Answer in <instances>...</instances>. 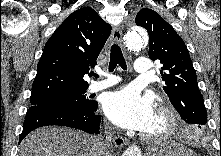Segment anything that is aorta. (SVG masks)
Returning <instances> with one entry per match:
<instances>
[{"instance_id": "obj_1", "label": "aorta", "mask_w": 221, "mask_h": 156, "mask_svg": "<svg viewBox=\"0 0 221 156\" xmlns=\"http://www.w3.org/2000/svg\"><path fill=\"white\" fill-rule=\"evenodd\" d=\"M125 45L129 50L139 51L148 44V36L144 29L132 27L125 33ZM124 156H140L139 151L125 153Z\"/></svg>"}]
</instances>
